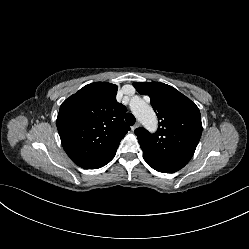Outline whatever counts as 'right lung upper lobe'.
Wrapping results in <instances>:
<instances>
[{"instance_id": "1", "label": "right lung upper lobe", "mask_w": 249, "mask_h": 249, "mask_svg": "<svg viewBox=\"0 0 249 249\" xmlns=\"http://www.w3.org/2000/svg\"><path fill=\"white\" fill-rule=\"evenodd\" d=\"M117 89L107 82L92 83L62 103L57 129L72 161L116 150L130 130L124 122L126 107L116 100Z\"/></svg>"}]
</instances>
